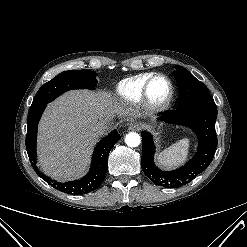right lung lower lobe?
I'll return each mask as SVG.
<instances>
[{"mask_svg": "<svg viewBox=\"0 0 247 247\" xmlns=\"http://www.w3.org/2000/svg\"><path fill=\"white\" fill-rule=\"evenodd\" d=\"M45 107L46 104L36 109H30L28 117L26 148L32 167L43 180L62 192L82 195L96 190L101 185L107 172L109 152L121 138L117 130L112 131L97 144L93 152L90 172L85 177L76 181L58 182L42 174L36 166L37 126Z\"/></svg>", "mask_w": 247, "mask_h": 247, "instance_id": "98d812e1", "label": "right lung lower lobe"}]
</instances>
